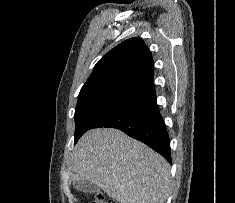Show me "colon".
Returning a JSON list of instances; mask_svg holds the SVG:
<instances>
[{
	"instance_id": "colon-1",
	"label": "colon",
	"mask_w": 235,
	"mask_h": 203,
	"mask_svg": "<svg viewBox=\"0 0 235 203\" xmlns=\"http://www.w3.org/2000/svg\"><path fill=\"white\" fill-rule=\"evenodd\" d=\"M93 203H117L112 198H109L101 193L95 195Z\"/></svg>"
}]
</instances>
